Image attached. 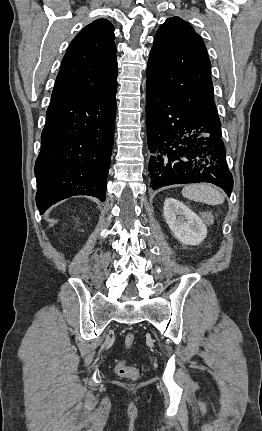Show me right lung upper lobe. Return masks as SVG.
<instances>
[{
  "label": "right lung upper lobe",
  "mask_w": 262,
  "mask_h": 431,
  "mask_svg": "<svg viewBox=\"0 0 262 431\" xmlns=\"http://www.w3.org/2000/svg\"><path fill=\"white\" fill-rule=\"evenodd\" d=\"M114 27L98 19L72 40L63 57L52 100L103 99L117 89Z\"/></svg>",
  "instance_id": "right-lung-upper-lobe-1"
}]
</instances>
